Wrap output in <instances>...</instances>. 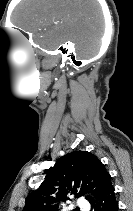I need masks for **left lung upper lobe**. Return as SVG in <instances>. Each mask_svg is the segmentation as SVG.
<instances>
[{
  "label": "left lung upper lobe",
  "mask_w": 133,
  "mask_h": 211,
  "mask_svg": "<svg viewBox=\"0 0 133 211\" xmlns=\"http://www.w3.org/2000/svg\"><path fill=\"white\" fill-rule=\"evenodd\" d=\"M46 179L26 198L23 211H58L68 195L80 197L90 190L96 199L112 186L111 176L102 162L87 151H75L60 157L46 171ZM89 202L93 198L86 197ZM75 211H79L77 208Z\"/></svg>",
  "instance_id": "obj_1"
}]
</instances>
